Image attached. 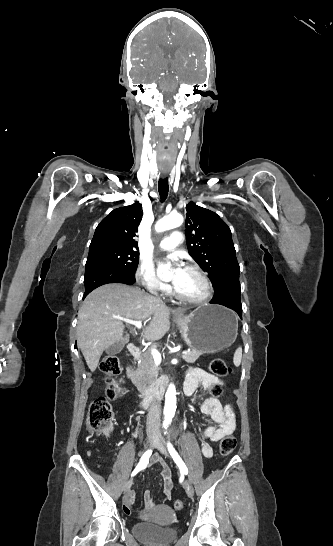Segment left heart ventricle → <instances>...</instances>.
<instances>
[{
  "label": "left heart ventricle",
  "instance_id": "b2bd125f",
  "mask_svg": "<svg viewBox=\"0 0 333 546\" xmlns=\"http://www.w3.org/2000/svg\"><path fill=\"white\" fill-rule=\"evenodd\" d=\"M177 290L186 297L197 298L205 293V286L201 278L195 272L186 270L183 283Z\"/></svg>",
  "mask_w": 333,
  "mask_h": 546
}]
</instances>
